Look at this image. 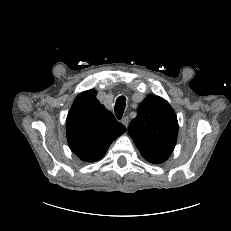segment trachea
Returning a JSON list of instances; mask_svg holds the SVG:
<instances>
[{
  "label": "trachea",
  "mask_w": 231,
  "mask_h": 231,
  "mask_svg": "<svg viewBox=\"0 0 231 231\" xmlns=\"http://www.w3.org/2000/svg\"><path fill=\"white\" fill-rule=\"evenodd\" d=\"M124 109H125V97L124 96H120L117 100H116V104L114 107L115 110V114L116 117L118 119H121L124 113Z\"/></svg>",
  "instance_id": "1"
}]
</instances>
